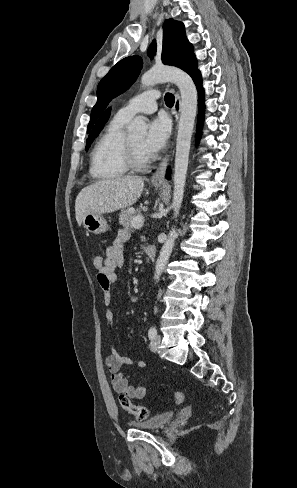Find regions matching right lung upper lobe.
<instances>
[{
  "label": "right lung upper lobe",
  "instance_id": "right-lung-upper-lobe-1",
  "mask_svg": "<svg viewBox=\"0 0 297 488\" xmlns=\"http://www.w3.org/2000/svg\"><path fill=\"white\" fill-rule=\"evenodd\" d=\"M109 115H110V109H107L103 113V115L101 116V118L98 120V122L96 123L95 127L93 128L92 133L89 136V138L92 137V136H94L98 132V130L103 127L104 123L108 120Z\"/></svg>",
  "mask_w": 297,
  "mask_h": 488
}]
</instances>
